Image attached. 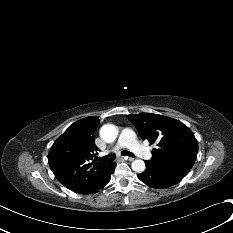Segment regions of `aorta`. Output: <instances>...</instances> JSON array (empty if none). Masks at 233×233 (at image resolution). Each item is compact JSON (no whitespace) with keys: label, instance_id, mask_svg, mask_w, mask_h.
Segmentation results:
<instances>
[{"label":"aorta","instance_id":"aorta-1","mask_svg":"<svg viewBox=\"0 0 233 233\" xmlns=\"http://www.w3.org/2000/svg\"><path fill=\"white\" fill-rule=\"evenodd\" d=\"M117 135L118 129L112 124H105L100 129V136L107 143L115 141ZM145 168V162L143 160L137 159L132 162V170L137 173H142Z\"/></svg>","mask_w":233,"mask_h":233}]
</instances>
